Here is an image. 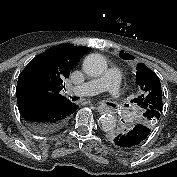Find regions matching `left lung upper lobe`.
Instances as JSON below:
<instances>
[{
  "mask_svg": "<svg viewBox=\"0 0 177 177\" xmlns=\"http://www.w3.org/2000/svg\"><path fill=\"white\" fill-rule=\"evenodd\" d=\"M136 79L140 95L134 101L143 113L140 123L153 128L163 110L161 83L155 72L143 63L137 65Z\"/></svg>",
  "mask_w": 177,
  "mask_h": 177,
  "instance_id": "5c2ea615",
  "label": "left lung upper lobe"
}]
</instances>
